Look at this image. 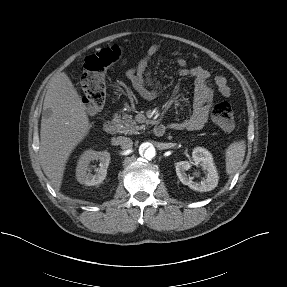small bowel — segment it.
Instances as JSON below:
<instances>
[{"instance_id": "obj_1", "label": "small bowel", "mask_w": 287, "mask_h": 287, "mask_svg": "<svg viewBox=\"0 0 287 287\" xmlns=\"http://www.w3.org/2000/svg\"><path fill=\"white\" fill-rule=\"evenodd\" d=\"M159 51L160 46L158 44L151 45L138 64L129 68L126 72V76L135 91L146 100H152L158 95L149 65L151 59ZM175 63L179 76L194 79L195 93L191 115L183 120L172 122L170 127L178 131L200 130L206 125L211 109L213 88L209 83L210 72L202 66H189L182 57H176ZM214 84L222 96L229 97L231 95V89L226 77L217 76L214 79Z\"/></svg>"}]
</instances>
